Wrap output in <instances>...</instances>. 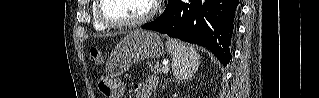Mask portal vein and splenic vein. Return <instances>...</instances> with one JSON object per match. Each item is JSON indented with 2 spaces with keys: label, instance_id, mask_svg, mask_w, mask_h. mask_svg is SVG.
<instances>
[{
  "label": "portal vein and splenic vein",
  "instance_id": "1",
  "mask_svg": "<svg viewBox=\"0 0 319 98\" xmlns=\"http://www.w3.org/2000/svg\"><path fill=\"white\" fill-rule=\"evenodd\" d=\"M163 71L164 72H168L169 71V68H168V62H163Z\"/></svg>",
  "mask_w": 319,
  "mask_h": 98
}]
</instances>
